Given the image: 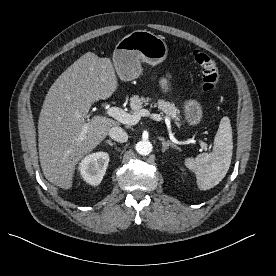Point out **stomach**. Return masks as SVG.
Masks as SVG:
<instances>
[{
  "mask_svg": "<svg viewBox=\"0 0 276 276\" xmlns=\"http://www.w3.org/2000/svg\"><path fill=\"white\" fill-rule=\"evenodd\" d=\"M167 55V44L160 36L146 30H136L116 44L112 60L119 78L127 82L140 76L141 62L155 66L162 63ZM184 114L189 125L199 124L203 117L201 104L193 99L185 101Z\"/></svg>",
  "mask_w": 276,
  "mask_h": 276,
  "instance_id": "obj_1",
  "label": "stomach"
}]
</instances>
